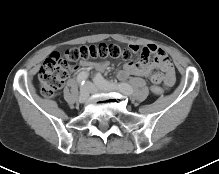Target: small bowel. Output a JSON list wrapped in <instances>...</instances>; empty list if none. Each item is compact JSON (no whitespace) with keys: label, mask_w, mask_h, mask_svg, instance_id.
<instances>
[{"label":"small bowel","mask_w":219,"mask_h":174,"mask_svg":"<svg viewBox=\"0 0 219 174\" xmlns=\"http://www.w3.org/2000/svg\"><path fill=\"white\" fill-rule=\"evenodd\" d=\"M134 52L139 50V46L131 44L129 46ZM153 55V60L150 63V57ZM83 67L94 68L98 71H103L107 67L105 62H85ZM152 68H158L162 71L151 74ZM131 75L150 76L153 83H164L166 87H171L175 82L174 67L168 58L167 54L160 47L149 44L142 49L141 62L126 63L122 71L118 73L120 80H125Z\"/></svg>","instance_id":"c3829d8e"}]
</instances>
